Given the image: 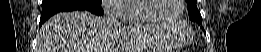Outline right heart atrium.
Returning <instances> with one entry per match:
<instances>
[{
	"label": "right heart atrium",
	"instance_id": "1",
	"mask_svg": "<svg viewBox=\"0 0 261 52\" xmlns=\"http://www.w3.org/2000/svg\"><path fill=\"white\" fill-rule=\"evenodd\" d=\"M126 1L125 0H103L102 1V9L104 10L105 14L110 17H125L126 12L120 9Z\"/></svg>",
	"mask_w": 261,
	"mask_h": 52
}]
</instances>
